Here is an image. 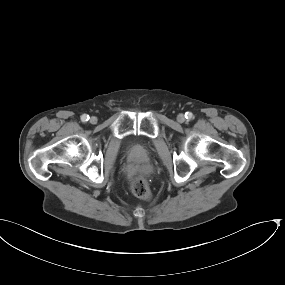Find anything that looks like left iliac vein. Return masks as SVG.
<instances>
[{
  "instance_id": "4c4485c4",
  "label": "left iliac vein",
  "mask_w": 285,
  "mask_h": 285,
  "mask_svg": "<svg viewBox=\"0 0 285 285\" xmlns=\"http://www.w3.org/2000/svg\"><path fill=\"white\" fill-rule=\"evenodd\" d=\"M177 121L180 123H183L185 121V115L184 114H179L177 116Z\"/></svg>"
}]
</instances>
